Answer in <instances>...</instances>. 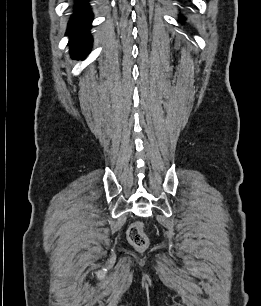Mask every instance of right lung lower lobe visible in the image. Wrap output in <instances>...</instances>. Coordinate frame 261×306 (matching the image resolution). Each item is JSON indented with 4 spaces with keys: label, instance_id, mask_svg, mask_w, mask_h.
Segmentation results:
<instances>
[{
    "label": "right lung lower lobe",
    "instance_id": "98d812e1",
    "mask_svg": "<svg viewBox=\"0 0 261 306\" xmlns=\"http://www.w3.org/2000/svg\"><path fill=\"white\" fill-rule=\"evenodd\" d=\"M76 3L77 7L69 21L67 34L72 36L69 43L71 55L75 58H84L90 51L92 44V37L89 32L92 13L86 4V0H76Z\"/></svg>",
    "mask_w": 261,
    "mask_h": 306
}]
</instances>
